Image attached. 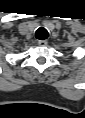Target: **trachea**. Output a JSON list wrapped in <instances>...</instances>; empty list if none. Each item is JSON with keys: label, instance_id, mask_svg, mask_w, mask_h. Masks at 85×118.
Segmentation results:
<instances>
[{"label": "trachea", "instance_id": "trachea-1", "mask_svg": "<svg viewBox=\"0 0 85 118\" xmlns=\"http://www.w3.org/2000/svg\"><path fill=\"white\" fill-rule=\"evenodd\" d=\"M48 35V31L43 27L38 28L35 33L36 38L39 40L47 39Z\"/></svg>", "mask_w": 85, "mask_h": 118}]
</instances>
